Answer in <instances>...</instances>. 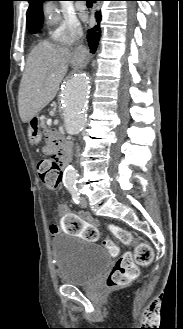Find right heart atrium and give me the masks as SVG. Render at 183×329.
I'll return each mask as SVG.
<instances>
[{
	"instance_id": "right-heart-atrium-1",
	"label": "right heart atrium",
	"mask_w": 183,
	"mask_h": 329,
	"mask_svg": "<svg viewBox=\"0 0 183 329\" xmlns=\"http://www.w3.org/2000/svg\"><path fill=\"white\" fill-rule=\"evenodd\" d=\"M82 34L78 22L72 21L61 25L52 33V39L59 44H67L77 40Z\"/></svg>"
}]
</instances>
